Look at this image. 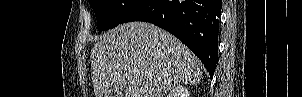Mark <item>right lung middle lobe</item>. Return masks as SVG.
I'll return each mask as SVG.
<instances>
[{
    "label": "right lung middle lobe",
    "instance_id": "right-lung-middle-lobe-1",
    "mask_svg": "<svg viewBox=\"0 0 302 97\" xmlns=\"http://www.w3.org/2000/svg\"><path fill=\"white\" fill-rule=\"evenodd\" d=\"M142 0H89L100 31L122 23L124 17Z\"/></svg>",
    "mask_w": 302,
    "mask_h": 97
}]
</instances>
